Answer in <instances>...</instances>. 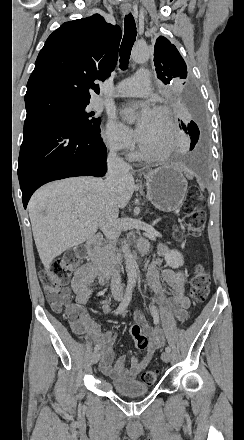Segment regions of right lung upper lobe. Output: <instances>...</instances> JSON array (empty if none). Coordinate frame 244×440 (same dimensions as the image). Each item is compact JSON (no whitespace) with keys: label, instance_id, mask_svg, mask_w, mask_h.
I'll list each match as a JSON object with an SVG mask.
<instances>
[{"label":"right lung upper lobe","instance_id":"right-lung-upper-lobe-1","mask_svg":"<svg viewBox=\"0 0 244 440\" xmlns=\"http://www.w3.org/2000/svg\"><path fill=\"white\" fill-rule=\"evenodd\" d=\"M122 37L119 26L94 14L62 24L46 40L27 83L25 98L58 94L91 98L114 70Z\"/></svg>","mask_w":244,"mask_h":440}]
</instances>
